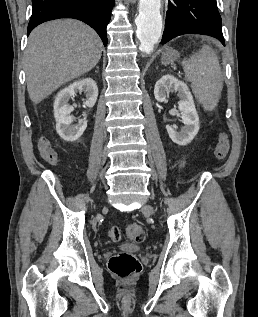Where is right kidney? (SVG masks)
<instances>
[{"label":"right kidney","mask_w":258,"mask_h":317,"mask_svg":"<svg viewBox=\"0 0 258 317\" xmlns=\"http://www.w3.org/2000/svg\"><path fill=\"white\" fill-rule=\"evenodd\" d=\"M82 90L86 94V106H94L98 96V86L93 78L75 80V82H72L66 88H62L54 100L53 108L56 130L64 140H77L87 126V114L85 112L83 114L84 118H80L78 124H72L73 116H71L70 112L74 110V106L68 104L69 98L74 96L76 92H82Z\"/></svg>","instance_id":"right-kidney-1"}]
</instances>
